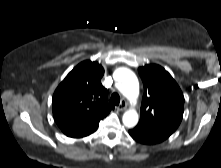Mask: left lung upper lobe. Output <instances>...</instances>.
I'll use <instances>...</instances> for the list:
<instances>
[{
  "label": "left lung upper lobe",
  "mask_w": 221,
  "mask_h": 168,
  "mask_svg": "<svg viewBox=\"0 0 221 168\" xmlns=\"http://www.w3.org/2000/svg\"><path fill=\"white\" fill-rule=\"evenodd\" d=\"M144 95L137 130L167 139L181 123L184 96L172 76L161 66L149 64L138 68Z\"/></svg>",
  "instance_id": "5c2ea615"
}]
</instances>
